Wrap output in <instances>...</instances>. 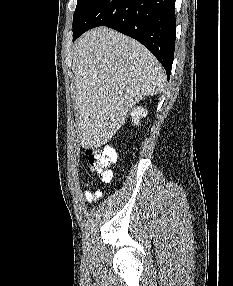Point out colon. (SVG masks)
<instances>
[{
    "label": "colon",
    "mask_w": 233,
    "mask_h": 286,
    "mask_svg": "<svg viewBox=\"0 0 233 286\" xmlns=\"http://www.w3.org/2000/svg\"><path fill=\"white\" fill-rule=\"evenodd\" d=\"M86 156L92 170L98 172L104 182L111 180V165L114 163L116 154L110 147L91 148L86 150Z\"/></svg>",
    "instance_id": "obj_1"
}]
</instances>
